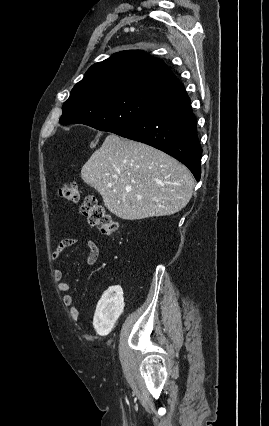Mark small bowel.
<instances>
[{
    "instance_id": "c3829d8e",
    "label": "small bowel",
    "mask_w": 269,
    "mask_h": 426,
    "mask_svg": "<svg viewBox=\"0 0 269 426\" xmlns=\"http://www.w3.org/2000/svg\"><path fill=\"white\" fill-rule=\"evenodd\" d=\"M77 239L75 237H67L62 239L54 251L51 253L52 260H57L61 253L66 250L69 247H72L76 244ZM87 248H88V254L86 257V263L88 265H94L99 257V248L95 240L88 239L86 242ZM54 280L57 285V289L60 292L66 293L63 298V304L65 307L69 308L71 310V313L73 315H76L78 313L76 307L74 306V299L73 296L70 295L68 292L70 290L69 284L64 280V272L62 269L58 268L54 271Z\"/></svg>"
}]
</instances>
